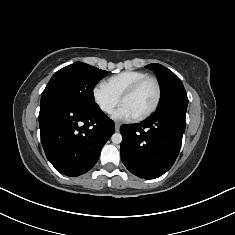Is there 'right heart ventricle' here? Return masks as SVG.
Segmentation results:
<instances>
[{
  "label": "right heart ventricle",
  "instance_id": "obj_1",
  "mask_svg": "<svg viewBox=\"0 0 235 235\" xmlns=\"http://www.w3.org/2000/svg\"><path fill=\"white\" fill-rule=\"evenodd\" d=\"M147 76L148 74L141 71H123L108 78L105 84L114 94L121 97L131 85Z\"/></svg>",
  "mask_w": 235,
  "mask_h": 235
}]
</instances>
